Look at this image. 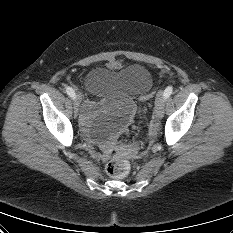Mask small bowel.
<instances>
[{"instance_id": "small-bowel-1", "label": "small bowel", "mask_w": 233, "mask_h": 233, "mask_svg": "<svg viewBox=\"0 0 233 233\" xmlns=\"http://www.w3.org/2000/svg\"><path fill=\"white\" fill-rule=\"evenodd\" d=\"M95 106L93 102H87L84 106V114H83V121L86 123L87 120L90 118Z\"/></svg>"}]
</instances>
